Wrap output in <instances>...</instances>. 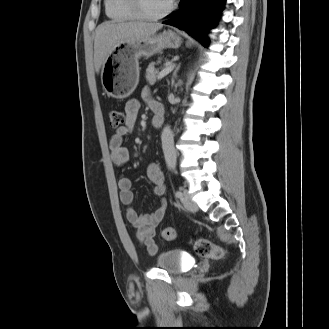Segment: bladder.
Masks as SVG:
<instances>
[{"instance_id": "31cf9c89", "label": "bladder", "mask_w": 329, "mask_h": 329, "mask_svg": "<svg viewBox=\"0 0 329 329\" xmlns=\"http://www.w3.org/2000/svg\"><path fill=\"white\" fill-rule=\"evenodd\" d=\"M157 267L171 274H182L186 269V260L179 250H165L158 254L156 261Z\"/></svg>"}]
</instances>
